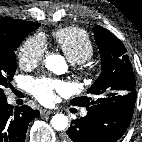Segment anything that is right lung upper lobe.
I'll return each mask as SVG.
<instances>
[{
    "mask_svg": "<svg viewBox=\"0 0 142 142\" xmlns=\"http://www.w3.org/2000/svg\"><path fill=\"white\" fill-rule=\"evenodd\" d=\"M39 24L40 23L27 22L17 19H0V38L10 36L24 29L38 26Z\"/></svg>",
    "mask_w": 142,
    "mask_h": 142,
    "instance_id": "cb5924a9",
    "label": "right lung upper lobe"
}]
</instances>
